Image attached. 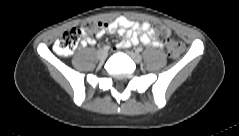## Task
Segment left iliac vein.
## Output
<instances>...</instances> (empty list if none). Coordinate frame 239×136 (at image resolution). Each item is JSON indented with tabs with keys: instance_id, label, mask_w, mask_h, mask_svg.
I'll return each instance as SVG.
<instances>
[{
	"instance_id": "left-iliac-vein-1",
	"label": "left iliac vein",
	"mask_w": 239,
	"mask_h": 136,
	"mask_svg": "<svg viewBox=\"0 0 239 136\" xmlns=\"http://www.w3.org/2000/svg\"><path fill=\"white\" fill-rule=\"evenodd\" d=\"M128 54L136 63L142 62V56L139 53L134 51H128Z\"/></svg>"
}]
</instances>
